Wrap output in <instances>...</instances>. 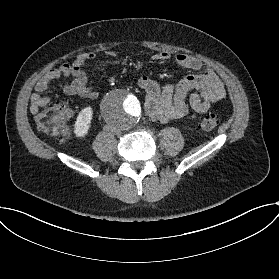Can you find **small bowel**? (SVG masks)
Wrapping results in <instances>:
<instances>
[{
    "instance_id": "c3829d8e",
    "label": "small bowel",
    "mask_w": 279,
    "mask_h": 279,
    "mask_svg": "<svg viewBox=\"0 0 279 279\" xmlns=\"http://www.w3.org/2000/svg\"><path fill=\"white\" fill-rule=\"evenodd\" d=\"M95 58L94 52H84L76 56L71 63H63L49 70L36 83L30 97V112L38 114L49 105L51 99L42 95L54 82L64 79L62 90L66 95L79 96L95 100L99 92L89 84L85 66ZM172 58L169 51H160L152 55L154 62H166ZM174 60L184 69L195 72L183 78L176 85L159 86L148 76H142L138 83L145 93L144 108L154 121L166 123L187 116L190 110L206 113L211 103L226 96V88L213 69L192 55L178 53Z\"/></svg>"
}]
</instances>
